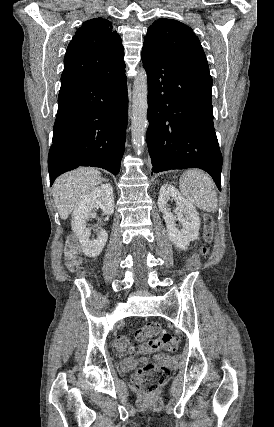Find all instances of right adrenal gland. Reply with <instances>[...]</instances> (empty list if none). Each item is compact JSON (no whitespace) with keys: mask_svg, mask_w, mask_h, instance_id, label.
<instances>
[{"mask_svg":"<svg viewBox=\"0 0 274 427\" xmlns=\"http://www.w3.org/2000/svg\"><path fill=\"white\" fill-rule=\"evenodd\" d=\"M103 182H109V180H103Z\"/></svg>","mask_w":274,"mask_h":427,"instance_id":"2a0ac1e0","label":"right adrenal gland"}]
</instances>
